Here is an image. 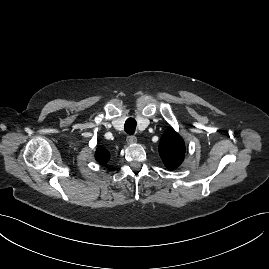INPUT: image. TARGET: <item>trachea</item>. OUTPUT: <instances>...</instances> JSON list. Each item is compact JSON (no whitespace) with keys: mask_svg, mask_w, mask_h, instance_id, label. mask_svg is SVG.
I'll return each mask as SVG.
<instances>
[{"mask_svg":"<svg viewBox=\"0 0 269 269\" xmlns=\"http://www.w3.org/2000/svg\"><path fill=\"white\" fill-rule=\"evenodd\" d=\"M136 125L137 122L134 118H128L124 125L125 132L130 135H133L136 130Z\"/></svg>","mask_w":269,"mask_h":269,"instance_id":"obj_1","label":"trachea"}]
</instances>
